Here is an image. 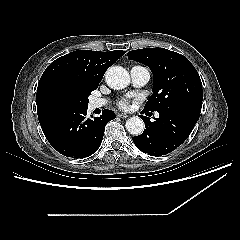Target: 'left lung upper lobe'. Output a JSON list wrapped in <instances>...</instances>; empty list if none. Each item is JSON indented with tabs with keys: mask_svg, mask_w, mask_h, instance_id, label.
Here are the masks:
<instances>
[{
	"mask_svg": "<svg viewBox=\"0 0 240 240\" xmlns=\"http://www.w3.org/2000/svg\"><path fill=\"white\" fill-rule=\"evenodd\" d=\"M127 55L153 73V94L144 111L160 112L182 102L203 99L199 74L185 56L164 48L138 49Z\"/></svg>",
	"mask_w": 240,
	"mask_h": 240,
	"instance_id": "1",
	"label": "left lung upper lobe"
}]
</instances>
